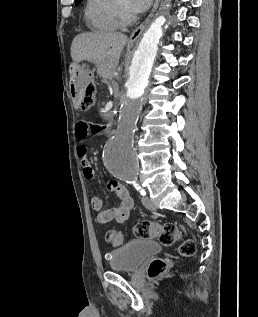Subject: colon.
I'll use <instances>...</instances> for the list:
<instances>
[{
	"mask_svg": "<svg viewBox=\"0 0 258 317\" xmlns=\"http://www.w3.org/2000/svg\"><path fill=\"white\" fill-rule=\"evenodd\" d=\"M96 87L94 80L89 78L85 80L80 88V102L84 108L91 107L95 102ZM134 235L139 239H158L161 244L170 246L181 239V231L178 225L174 222L156 223L152 221H139L133 227ZM108 244L112 247H119L124 242V234L119 230H111L106 235ZM196 245L193 240H183L178 252L183 257H190L195 254ZM169 268L167 259H155L148 267V275L151 278H156L164 273Z\"/></svg>",
	"mask_w": 258,
	"mask_h": 317,
	"instance_id": "5ec220e1",
	"label": "colon"
}]
</instances>
